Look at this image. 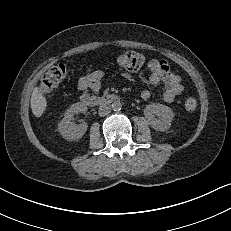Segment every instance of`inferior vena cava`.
<instances>
[{
	"label": "inferior vena cava",
	"mask_w": 231,
	"mask_h": 231,
	"mask_svg": "<svg viewBox=\"0 0 231 231\" xmlns=\"http://www.w3.org/2000/svg\"><path fill=\"white\" fill-rule=\"evenodd\" d=\"M110 111H111L110 106L102 105L100 106L98 113H99V116L104 117V116H107L110 113Z\"/></svg>",
	"instance_id": "inferior-vena-cava-1"
}]
</instances>
